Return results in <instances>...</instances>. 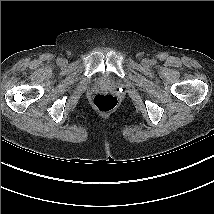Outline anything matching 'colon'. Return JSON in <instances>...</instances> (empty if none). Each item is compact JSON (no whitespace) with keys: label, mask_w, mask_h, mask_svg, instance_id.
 <instances>
[{"label":"colon","mask_w":214,"mask_h":214,"mask_svg":"<svg viewBox=\"0 0 214 214\" xmlns=\"http://www.w3.org/2000/svg\"><path fill=\"white\" fill-rule=\"evenodd\" d=\"M93 104L98 111L107 113L117 107L118 100L110 93L97 94L93 99Z\"/></svg>","instance_id":"5ec220e1"}]
</instances>
